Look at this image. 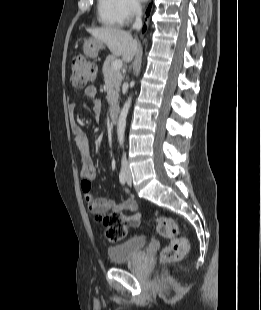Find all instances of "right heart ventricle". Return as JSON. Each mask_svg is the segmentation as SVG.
<instances>
[{
	"instance_id": "obj_1",
	"label": "right heart ventricle",
	"mask_w": 261,
	"mask_h": 310,
	"mask_svg": "<svg viewBox=\"0 0 261 310\" xmlns=\"http://www.w3.org/2000/svg\"><path fill=\"white\" fill-rule=\"evenodd\" d=\"M97 18L106 27H120L122 22L117 0H97Z\"/></svg>"
}]
</instances>
